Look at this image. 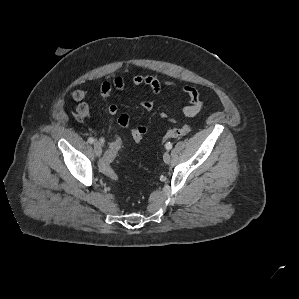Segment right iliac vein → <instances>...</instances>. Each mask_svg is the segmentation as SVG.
I'll return each mask as SVG.
<instances>
[{"label": "right iliac vein", "mask_w": 299, "mask_h": 299, "mask_svg": "<svg viewBox=\"0 0 299 299\" xmlns=\"http://www.w3.org/2000/svg\"><path fill=\"white\" fill-rule=\"evenodd\" d=\"M94 153L98 157L102 154V148L98 142L94 143Z\"/></svg>", "instance_id": "right-iliac-vein-1"}]
</instances>
